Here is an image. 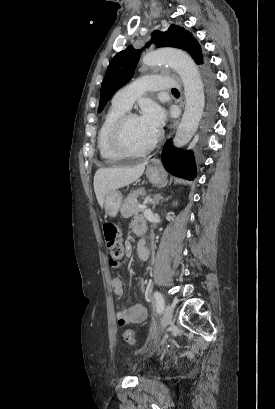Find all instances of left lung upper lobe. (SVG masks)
I'll list each match as a JSON object with an SVG mask.
<instances>
[{"label":"left lung upper lobe","instance_id":"left-lung-upper-lobe-1","mask_svg":"<svg viewBox=\"0 0 275 409\" xmlns=\"http://www.w3.org/2000/svg\"><path fill=\"white\" fill-rule=\"evenodd\" d=\"M151 40L146 44L156 43L157 47H175L187 51L197 64H203V56L199 43L193 35L184 28L171 25L166 32L154 31ZM141 50L132 46L117 53L111 60L100 90L99 112L114 93L132 78L139 61Z\"/></svg>","mask_w":275,"mask_h":409}]
</instances>
